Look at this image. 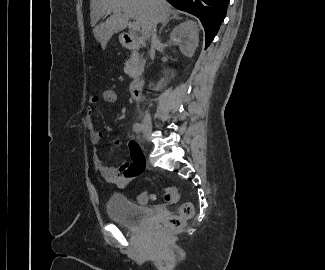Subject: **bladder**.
<instances>
[{
	"mask_svg": "<svg viewBox=\"0 0 325 270\" xmlns=\"http://www.w3.org/2000/svg\"><path fill=\"white\" fill-rule=\"evenodd\" d=\"M106 209L112 222L130 228L139 227L151 215L150 209L134 203L123 194H112Z\"/></svg>",
	"mask_w": 325,
	"mask_h": 270,
	"instance_id": "bladder-1",
	"label": "bladder"
}]
</instances>
